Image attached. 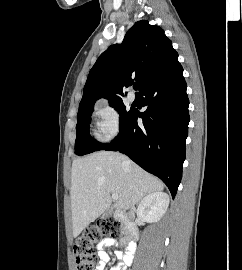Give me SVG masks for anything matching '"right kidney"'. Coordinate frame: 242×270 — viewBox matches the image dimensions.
<instances>
[{
    "label": "right kidney",
    "mask_w": 242,
    "mask_h": 270,
    "mask_svg": "<svg viewBox=\"0 0 242 270\" xmlns=\"http://www.w3.org/2000/svg\"><path fill=\"white\" fill-rule=\"evenodd\" d=\"M169 197L163 192H153L145 196L137 208V216L148 223L157 222L166 213Z\"/></svg>",
    "instance_id": "obj_1"
}]
</instances>
